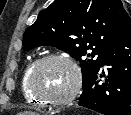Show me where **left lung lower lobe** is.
<instances>
[{
  "instance_id": "0a47b994",
  "label": "left lung lower lobe",
  "mask_w": 131,
  "mask_h": 115,
  "mask_svg": "<svg viewBox=\"0 0 131 115\" xmlns=\"http://www.w3.org/2000/svg\"><path fill=\"white\" fill-rule=\"evenodd\" d=\"M107 65V79L101 72ZM78 105L103 115H131V28L109 49L101 66L83 88Z\"/></svg>"
}]
</instances>
